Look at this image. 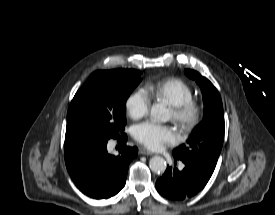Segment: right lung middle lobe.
Masks as SVG:
<instances>
[{
  "label": "right lung middle lobe",
  "instance_id": "right-lung-middle-lobe-1",
  "mask_svg": "<svg viewBox=\"0 0 275 215\" xmlns=\"http://www.w3.org/2000/svg\"><path fill=\"white\" fill-rule=\"evenodd\" d=\"M134 69L99 70L76 92L67 113L65 143L108 141L123 133L126 100L140 83Z\"/></svg>",
  "mask_w": 275,
  "mask_h": 215
}]
</instances>
